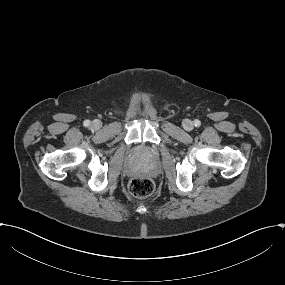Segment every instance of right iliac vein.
Instances as JSON below:
<instances>
[{
	"label": "right iliac vein",
	"mask_w": 285,
	"mask_h": 285,
	"mask_svg": "<svg viewBox=\"0 0 285 285\" xmlns=\"http://www.w3.org/2000/svg\"><path fill=\"white\" fill-rule=\"evenodd\" d=\"M91 126L94 128V129H99L101 128V122L99 120H94L91 124Z\"/></svg>",
	"instance_id": "63e3f726"
}]
</instances>
